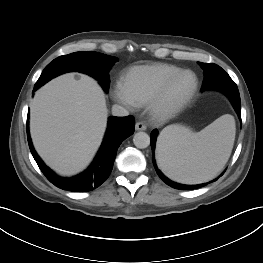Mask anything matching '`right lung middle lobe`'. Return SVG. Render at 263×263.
Returning <instances> with one entry per match:
<instances>
[{"instance_id": "dd1d6c3e", "label": "right lung middle lobe", "mask_w": 263, "mask_h": 263, "mask_svg": "<svg viewBox=\"0 0 263 263\" xmlns=\"http://www.w3.org/2000/svg\"><path fill=\"white\" fill-rule=\"evenodd\" d=\"M117 61L118 59L115 57L97 52H75L63 55L46 66L37 82L42 85L62 73L79 71L98 79L107 92L109 88L108 72Z\"/></svg>"}]
</instances>
